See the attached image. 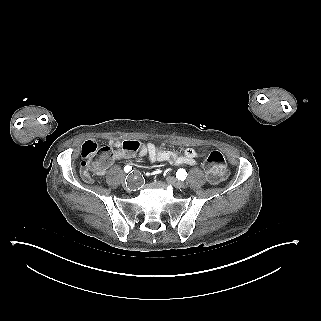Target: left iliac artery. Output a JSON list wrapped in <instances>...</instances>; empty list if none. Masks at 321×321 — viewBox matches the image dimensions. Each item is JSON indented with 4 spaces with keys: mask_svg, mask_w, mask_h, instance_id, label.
Returning <instances> with one entry per match:
<instances>
[{
    "mask_svg": "<svg viewBox=\"0 0 321 321\" xmlns=\"http://www.w3.org/2000/svg\"><path fill=\"white\" fill-rule=\"evenodd\" d=\"M177 178L178 179H180L181 181L182 180H185L186 179V177H187V172L184 170V169H179L178 171H177Z\"/></svg>",
    "mask_w": 321,
    "mask_h": 321,
    "instance_id": "1",
    "label": "left iliac artery"
}]
</instances>
